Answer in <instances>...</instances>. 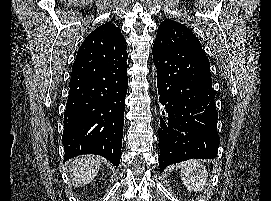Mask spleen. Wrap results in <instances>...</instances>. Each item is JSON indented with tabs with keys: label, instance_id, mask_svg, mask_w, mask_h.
Instances as JSON below:
<instances>
[{
	"label": "spleen",
	"instance_id": "1",
	"mask_svg": "<svg viewBox=\"0 0 271 201\" xmlns=\"http://www.w3.org/2000/svg\"><path fill=\"white\" fill-rule=\"evenodd\" d=\"M207 176L206 167L200 160L191 159L181 164V179L188 192H201Z\"/></svg>",
	"mask_w": 271,
	"mask_h": 201
}]
</instances>
